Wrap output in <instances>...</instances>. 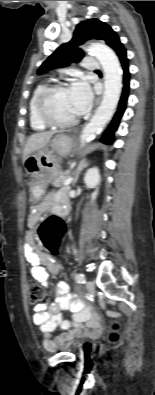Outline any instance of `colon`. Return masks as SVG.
Listing matches in <instances>:
<instances>
[{"label":"colon","mask_w":155,"mask_h":395,"mask_svg":"<svg viewBox=\"0 0 155 395\" xmlns=\"http://www.w3.org/2000/svg\"><path fill=\"white\" fill-rule=\"evenodd\" d=\"M61 215H47L46 220L40 225L37 233L47 251H51L52 256H59V243L61 235L66 234L67 224L61 223ZM46 299L43 287L35 280L29 283V301L32 304L42 303ZM120 325L118 322L112 324V329L108 335L110 343L115 344L120 341Z\"/></svg>","instance_id":"1"}]
</instances>
